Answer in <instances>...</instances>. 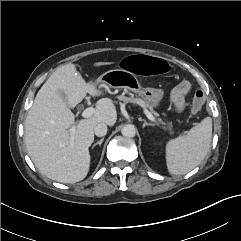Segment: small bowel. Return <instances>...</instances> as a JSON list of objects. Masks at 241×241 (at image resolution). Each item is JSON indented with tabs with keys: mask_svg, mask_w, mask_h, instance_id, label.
<instances>
[{
	"mask_svg": "<svg viewBox=\"0 0 241 241\" xmlns=\"http://www.w3.org/2000/svg\"><path fill=\"white\" fill-rule=\"evenodd\" d=\"M155 57H160V56H155ZM190 90H191V85L187 81L180 82L174 88V90L171 94V102L177 111H182L184 109L185 100H186V97L189 94Z\"/></svg>",
	"mask_w": 241,
	"mask_h": 241,
	"instance_id": "obj_1",
	"label": "small bowel"
}]
</instances>
